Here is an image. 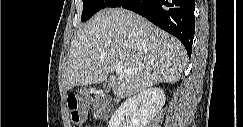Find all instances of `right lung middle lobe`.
Returning <instances> with one entry per match:
<instances>
[{"instance_id": "right-lung-middle-lobe-1", "label": "right lung middle lobe", "mask_w": 243, "mask_h": 127, "mask_svg": "<svg viewBox=\"0 0 243 127\" xmlns=\"http://www.w3.org/2000/svg\"><path fill=\"white\" fill-rule=\"evenodd\" d=\"M114 1L115 0H83L81 21H87L101 9L109 7Z\"/></svg>"}]
</instances>
